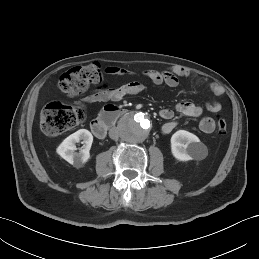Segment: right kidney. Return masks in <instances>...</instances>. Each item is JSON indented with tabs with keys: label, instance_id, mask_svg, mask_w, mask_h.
Masks as SVG:
<instances>
[{
	"label": "right kidney",
	"instance_id": "right-kidney-1",
	"mask_svg": "<svg viewBox=\"0 0 259 259\" xmlns=\"http://www.w3.org/2000/svg\"><path fill=\"white\" fill-rule=\"evenodd\" d=\"M82 141L83 149L75 152L76 143ZM93 142L92 134L86 129H80L63 140L56 152L67 162L80 167L90 158V148Z\"/></svg>",
	"mask_w": 259,
	"mask_h": 259
}]
</instances>
